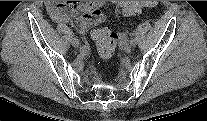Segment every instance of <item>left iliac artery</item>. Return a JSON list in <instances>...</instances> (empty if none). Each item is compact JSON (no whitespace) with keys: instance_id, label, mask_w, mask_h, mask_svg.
<instances>
[{"instance_id":"1","label":"left iliac artery","mask_w":207,"mask_h":121,"mask_svg":"<svg viewBox=\"0 0 207 121\" xmlns=\"http://www.w3.org/2000/svg\"><path fill=\"white\" fill-rule=\"evenodd\" d=\"M119 43H120V44H126V45L131 44L132 46H135V45H136V40L131 39V38L128 36V32H127V31H122V32L119 34Z\"/></svg>"}]
</instances>
